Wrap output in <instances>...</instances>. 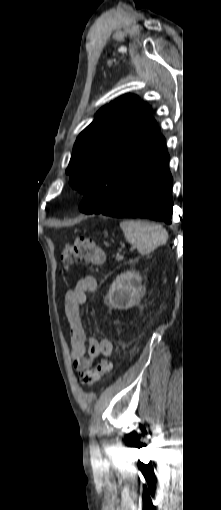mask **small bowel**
<instances>
[{
  "mask_svg": "<svg viewBox=\"0 0 221 510\" xmlns=\"http://www.w3.org/2000/svg\"><path fill=\"white\" fill-rule=\"evenodd\" d=\"M97 287L96 278L88 275L65 295L64 311L70 326L71 357L74 367L81 373L89 371L97 357H110L113 354V344L109 340L91 338L87 344L81 307L86 302L87 294L94 293Z\"/></svg>",
  "mask_w": 221,
  "mask_h": 510,
  "instance_id": "1",
  "label": "small bowel"
}]
</instances>
